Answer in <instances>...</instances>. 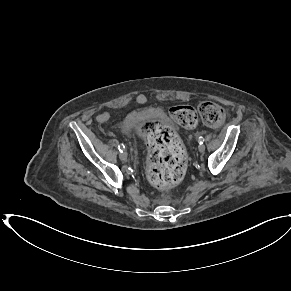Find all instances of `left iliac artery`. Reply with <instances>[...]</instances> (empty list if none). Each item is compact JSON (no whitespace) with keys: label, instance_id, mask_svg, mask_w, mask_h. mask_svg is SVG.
<instances>
[{"label":"left iliac artery","instance_id":"obj_1","mask_svg":"<svg viewBox=\"0 0 291 291\" xmlns=\"http://www.w3.org/2000/svg\"><path fill=\"white\" fill-rule=\"evenodd\" d=\"M198 142H199V144H203L204 138L203 137H199Z\"/></svg>","mask_w":291,"mask_h":291}]
</instances>
